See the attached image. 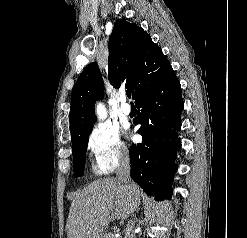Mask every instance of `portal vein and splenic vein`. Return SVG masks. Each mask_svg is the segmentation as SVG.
Returning a JSON list of instances; mask_svg holds the SVG:
<instances>
[{"instance_id":"obj_1","label":"portal vein and splenic vein","mask_w":247,"mask_h":238,"mask_svg":"<svg viewBox=\"0 0 247 238\" xmlns=\"http://www.w3.org/2000/svg\"><path fill=\"white\" fill-rule=\"evenodd\" d=\"M108 238H114V235L113 234H109Z\"/></svg>"}]
</instances>
